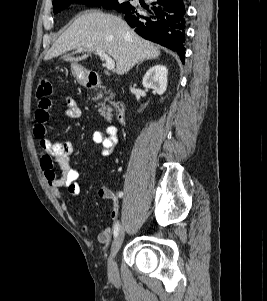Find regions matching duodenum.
<instances>
[{"label":"duodenum","instance_id":"1","mask_svg":"<svg viewBox=\"0 0 267 301\" xmlns=\"http://www.w3.org/2000/svg\"><path fill=\"white\" fill-rule=\"evenodd\" d=\"M86 85L88 88L94 89L101 86V79L99 76L96 75H87L86 76ZM126 119V110H125V104L123 101L117 102L116 107V120L120 124H124Z\"/></svg>","mask_w":267,"mask_h":301}]
</instances>
